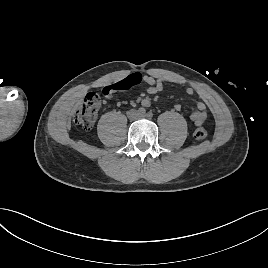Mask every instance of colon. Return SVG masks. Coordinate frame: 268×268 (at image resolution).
Returning <instances> with one entry per match:
<instances>
[{
	"label": "colon",
	"instance_id": "obj_1",
	"mask_svg": "<svg viewBox=\"0 0 268 268\" xmlns=\"http://www.w3.org/2000/svg\"><path fill=\"white\" fill-rule=\"evenodd\" d=\"M134 85H137V81L132 78H126L111 86H107L102 90V94L105 97L113 96L117 90H127ZM101 105V98L98 93L88 92L82 103L76 107L73 114V120L76 125L82 127L85 130H89L93 127L99 108ZM207 135L205 128L197 127L194 131V138L197 140H203Z\"/></svg>",
	"mask_w": 268,
	"mask_h": 268
}]
</instances>
